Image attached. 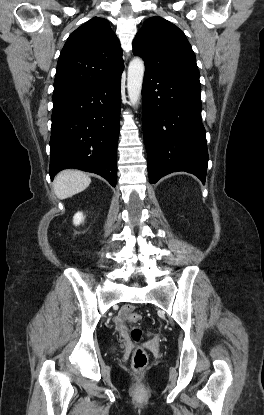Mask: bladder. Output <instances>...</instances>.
Instances as JSON below:
<instances>
[{
	"label": "bladder",
	"instance_id": "31cf9c89",
	"mask_svg": "<svg viewBox=\"0 0 264 415\" xmlns=\"http://www.w3.org/2000/svg\"><path fill=\"white\" fill-rule=\"evenodd\" d=\"M116 351H117V347L112 346L109 348L110 353H115Z\"/></svg>",
	"mask_w": 264,
	"mask_h": 415
}]
</instances>
